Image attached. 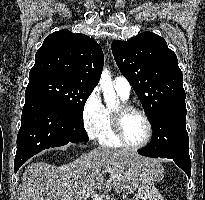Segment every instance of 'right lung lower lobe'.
<instances>
[{
	"label": "right lung lower lobe",
	"instance_id": "98d812e1",
	"mask_svg": "<svg viewBox=\"0 0 205 200\" xmlns=\"http://www.w3.org/2000/svg\"><path fill=\"white\" fill-rule=\"evenodd\" d=\"M88 141L82 123L46 98L28 95L17 136L15 172L30 157L50 147Z\"/></svg>",
	"mask_w": 205,
	"mask_h": 200
}]
</instances>
